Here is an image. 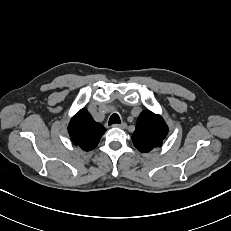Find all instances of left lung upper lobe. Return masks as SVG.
<instances>
[{
	"instance_id": "1",
	"label": "left lung upper lobe",
	"mask_w": 231,
	"mask_h": 231,
	"mask_svg": "<svg viewBox=\"0 0 231 231\" xmlns=\"http://www.w3.org/2000/svg\"><path fill=\"white\" fill-rule=\"evenodd\" d=\"M167 133L168 127L162 117L146 110L138 117L132 141L140 152H149L162 145Z\"/></svg>"
}]
</instances>
